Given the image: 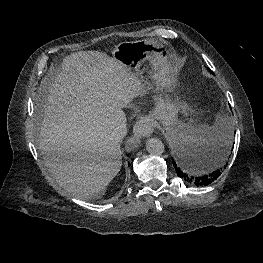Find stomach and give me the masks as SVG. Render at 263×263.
Wrapping results in <instances>:
<instances>
[{
  "label": "stomach",
  "mask_w": 263,
  "mask_h": 263,
  "mask_svg": "<svg viewBox=\"0 0 263 263\" xmlns=\"http://www.w3.org/2000/svg\"><path fill=\"white\" fill-rule=\"evenodd\" d=\"M112 55L115 60L129 67L137 75L140 74V67L145 62H149L153 67V79L161 94L156 96L154 107L147 119L158 121L169 135L172 134L177 128L179 110L186 107L174 102L168 96L175 83V76L169 67V49L150 40H138L118 44Z\"/></svg>",
  "instance_id": "stomach-1"
}]
</instances>
